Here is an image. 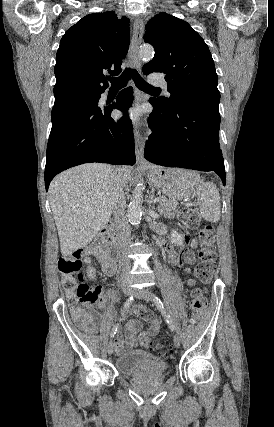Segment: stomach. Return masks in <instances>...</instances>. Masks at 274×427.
Segmentation results:
<instances>
[{
    "mask_svg": "<svg viewBox=\"0 0 274 427\" xmlns=\"http://www.w3.org/2000/svg\"><path fill=\"white\" fill-rule=\"evenodd\" d=\"M145 174L150 184L171 200H186L192 196L200 182L196 172L180 168L165 170L161 166H151V170H146Z\"/></svg>",
    "mask_w": 274,
    "mask_h": 427,
    "instance_id": "0dacf381",
    "label": "stomach"
}]
</instances>
